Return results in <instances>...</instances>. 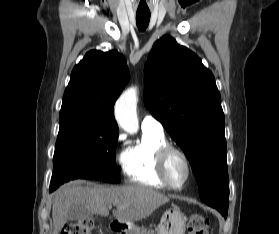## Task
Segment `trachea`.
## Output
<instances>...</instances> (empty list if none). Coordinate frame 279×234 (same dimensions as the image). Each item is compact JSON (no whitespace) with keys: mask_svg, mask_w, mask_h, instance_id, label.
I'll use <instances>...</instances> for the list:
<instances>
[{"mask_svg":"<svg viewBox=\"0 0 279 234\" xmlns=\"http://www.w3.org/2000/svg\"><path fill=\"white\" fill-rule=\"evenodd\" d=\"M150 21V12H137L136 22L140 31H144Z\"/></svg>","mask_w":279,"mask_h":234,"instance_id":"trachea-1","label":"trachea"}]
</instances>
